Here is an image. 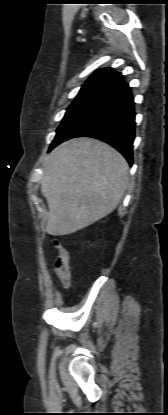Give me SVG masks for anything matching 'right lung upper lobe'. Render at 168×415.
I'll list each match as a JSON object with an SVG mask.
<instances>
[{"instance_id":"obj_1","label":"right lung upper lobe","mask_w":168,"mask_h":415,"mask_svg":"<svg viewBox=\"0 0 168 415\" xmlns=\"http://www.w3.org/2000/svg\"><path fill=\"white\" fill-rule=\"evenodd\" d=\"M123 79L122 75L111 68H103L92 74L82 85L79 93L101 94Z\"/></svg>"}]
</instances>
